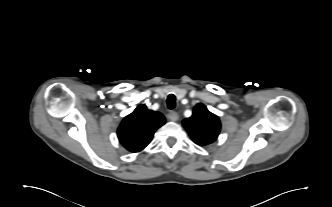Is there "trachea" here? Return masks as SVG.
Instances as JSON below:
<instances>
[{
    "label": "trachea",
    "mask_w": 332,
    "mask_h": 207,
    "mask_svg": "<svg viewBox=\"0 0 332 207\" xmlns=\"http://www.w3.org/2000/svg\"><path fill=\"white\" fill-rule=\"evenodd\" d=\"M175 105H176V99H175V96L173 94H170L168 97H167V106L169 109H174L175 108Z\"/></svg>",
    "instance_id": "3493384b"
}]
</instances>
